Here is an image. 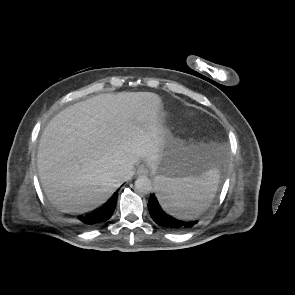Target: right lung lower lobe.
Returning a JSON list of instances; mask_svg holds the SVG:
<instances>
[{
  "label": "right lung lower lobe",
  "instance_id": "98d812e1",
  "mask_svg": "<svg viewBox=\"0 0 295 295\" xmlns=\"http://www.w3.org/2000/svg\"><path fill=\"white\" fill-rule=\"evenodd\" d=\"M116 202L117 192L102 207L98 208L97 210L91 213L79 216L78 219L82 222V224L85 227L98 226L104 223L112 216L116 206Z\"/></svg>",
  "mask_w": 295,
  "mask_h": 295
}]
</instances>
